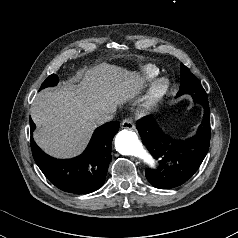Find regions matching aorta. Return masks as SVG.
I'll return each instance as SVG.
<instances>
[{
    "label": "aorta",
    "mask_w": 238,
    "mask_h": 238,
    "mask_svg": "<svg viewBox=\"0 0 238 238\" xmlns=\"http://www.w3.org/2000/svg\"><path fill=\"white\" fill-rule=\"evenodd\" d=\"M116 150L126 156L140 159L151 169H156L157 162L152 155L143 147L135 132L130 130L120 131L115 138Z\"/></svg>",
    "instance_id": "762f6f07"
}]
</instances>
